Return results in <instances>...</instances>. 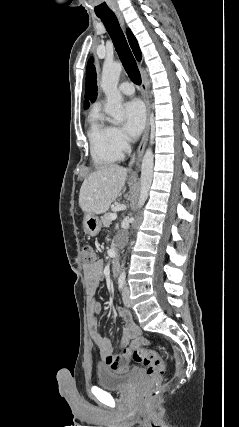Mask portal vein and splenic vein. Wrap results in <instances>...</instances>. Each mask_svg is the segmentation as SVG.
Returning a JSON list of instances; mask_svg holds the SVG:
<instances>
[{
  "label": "portal vein and splenic vein",
  "mask_w": 239,
  "mask_h": 427,
  "mask_svg": "<svg viewBox=\"0 0 239 427\" xmlns=\"http://www.w3.org/2000/svg\"><path fill=\"white\" fill-rule=\"evenodd\" d=\"M109 218H110L111 221L112 220H116L117 214L116 213H111L110 216H109Z\"/></svg>",
  "instance_id": "18ae733b"
}]
</instances>
